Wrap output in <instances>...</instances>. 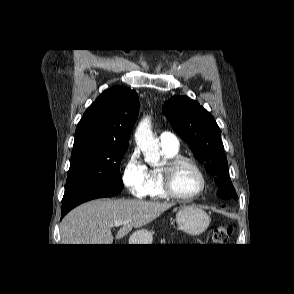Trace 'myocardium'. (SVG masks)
Listing matches in <instances>:
<instances>
[{"label": "myocardium", "instance_id": "1", "mask_svg": "<svg viewBox=\"0 0 294 294\" xmlns=\"http://www.w3.org/2000/svg\"><path fill=\"white\" fill-rule=\"evenodd\" d=\"M184 164L190 165L199 175L201 180V186L197 192L192 195H182L178 193L173 185V179L176 170ZM161 175H162V187L165 193L172 199L180 200V201H192L198 198L206 189L207 186V179L204 171L199 166V164L192 158L177 155L172 158H168L166 160L165 165L161 168Z\"/></svg>", "mask_w": 294, "mask_h": 294}]
</instances>
